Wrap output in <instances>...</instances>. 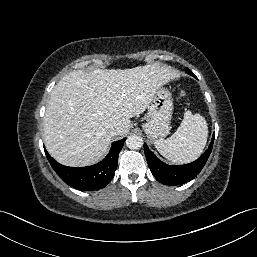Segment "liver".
<instances>
[{
  "label": "liver",
  "mask_w": 257,
  "mask_h": 257,
  "mask_svg": "<svg viewBox=\"0 0 257 257\" xmlns=\"http://www.w3.org/2000/svg\"><path fill=\"white\" fill-rule=\"evenodd\" d=\"M178 76L168 66L72 71L53 88L43 119L49 154L66 166H86L107 153L112 128L124 136L157 89Z\"/></svg>",
  "instance_id": "6515ba94"
}]
</instances>
